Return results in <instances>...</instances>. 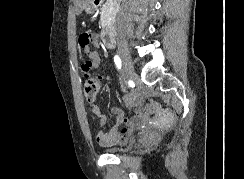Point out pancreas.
Instances as JSON below:
<instances>
[{
	"label": "pancreas",
	"instance_id": "cf45deb5",
	"mask_svg": "<svg viewBox=\"0 0 244 179\" xmlns=\"http://www.w3.org/2000/svg\"><path fill=\"white\" fill-rule=\"evenodd\" d=\"M108 10H110L109 2H106L105 6H103V8L101 10V20H103V18H105L106 14H108Z\"/></svg>",
	"mask_w": 244,
	"mask_h": 179
}]
</instances>
